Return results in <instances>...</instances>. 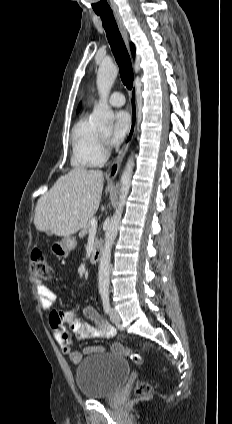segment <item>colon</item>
<instances>
[{"mask_svg":"<svg viewBox=\"0 0 232 424\" xmlns=\"http://www.w3.org/2000/svg\"><path fill=\"white\" fill-rule=\"evenodd\" d=\"M31 271L34 277L41 280H50L53 277V268L50 265L45 254L39 250L35 249L31 253ZM122 343L121 341L119 342ZM124 346V354L131 358V360L136 364L142 363L141 356L130 350L129 346ZM152 392V387L148 383H139L135 388L136 396H146Z\"/></svg>","mask_w":232,"mask_h":424,"instance_id":"colon-1","label":"colon"}]
</instances>
